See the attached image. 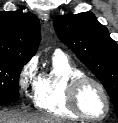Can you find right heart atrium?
Instances as JSON below:
<instances>
[{"mask_svg": "<svg viewBox=\"0 0 118 123\" xmlns=\"http://www.w3.org/2000/svg\"><path fill=\"white\" fill-rule=\"evenodd\" d=\"M38 77L37 61L30 59L21 67L18 74V86L23 95L34 94Z\"/></svg>", "mask_w": 118, "mask_h": 123, "instance_id": "d8ad5b80", "label": "right heart atrium"}]
</instances>
